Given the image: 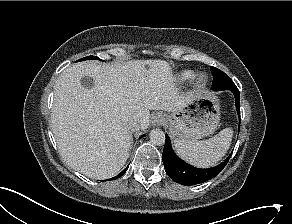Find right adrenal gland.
<instances>
[{
    "label": "right adrenal gland",
    "instance_id": "1",
    "mask_svg": "<svg viewBox=\"0 0 292 224\" xmlns=\"http://www.w3.org/2000/svg\"><path fill=\"white\" fill-rule=\"evenodd\" d=\"M130 138H131V141H130V149H129V151L131 150V148L133 146V136H132V134H130Z\"/></svg>",
    "mask_w": 292,
    "mask_h": 224
}]
</instances>
